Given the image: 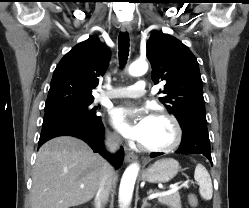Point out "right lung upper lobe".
I'll list each match as a JSON object with an SVG mask.
<instances>
[{
	"label": "right lung upper lobe",
	"mask_w": 249,
	"mask_h": 208,
	"mask_svg": "<svg viewBox=\"0 0 249 208\" xmlns=\"http://www.w3.org/2000/svg\"><path fill=\"white\" fill-rule=\"evenodd\" d=\"M110 61V51L96 36L74 46L58 63L50 83L45 108L94 100L91 94Z\"/></svg>",
	"instance_id": "cb5924a9"
}]
</instances>
